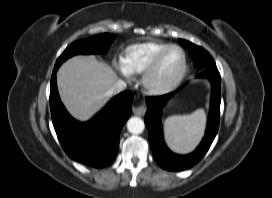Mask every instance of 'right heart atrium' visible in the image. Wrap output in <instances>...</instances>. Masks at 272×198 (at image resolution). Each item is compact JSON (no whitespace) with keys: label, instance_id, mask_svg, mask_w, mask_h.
I'll return each instance as SVG.
<instances>
[{"label":"right heart atrium","instance_id":"d8ad5b80","mask_svg":"<svg viewBox=\"0 0 272 198\" xmlns=\"http://www.w3.org/2000/svg\"><path fill=\"white\" fill-rule=\"evenodd\" d=\"M118 69H119L120 73H121L123 76H125V77H127V78L130 77V73H128V72L125 70V68L122 66V64L118 66Z\"/></svg>","mask_w":272,"mask_h":198}]
</instances>
